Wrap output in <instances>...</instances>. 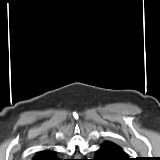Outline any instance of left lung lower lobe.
Wrapping results in <instances>:
<instances>
[{
  "instance_id": "0a47b994",
  "label": "left lung lower lobe",
  "mask_w": 160,
  "mask_h": 160,
  "mask_svg": "<svg viewBox=\"0 0 160 160\" xmlns=\"http://www.w3.org/2000/svg\"><path fill=\"white\" fill-rule=\"evenodd\" d=\"M93 160H130L118 145L106 141L97 150Z\"/></svg>"
}]
</instances>
